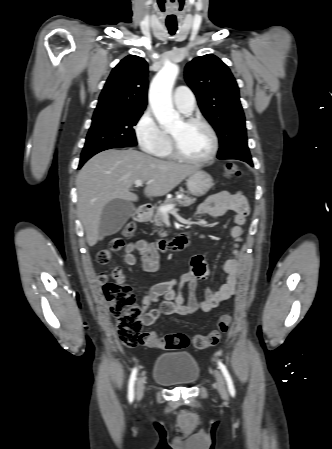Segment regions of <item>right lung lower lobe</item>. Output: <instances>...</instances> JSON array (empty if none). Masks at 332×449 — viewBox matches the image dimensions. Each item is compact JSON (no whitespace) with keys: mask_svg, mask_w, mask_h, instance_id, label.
Here are the masks:
<instances>
[{"mask_svg":"<svg viewBox=\"0 0 332 449\" xmlns=\"http://www.w3.org/2000/svg\"><path fill=\"white\" fill-rule=\"evenodd\" d=\"M107 149H111V148H105L102 150H99L97 152L91 153V154H87V155H83L81 156V160H80V164H79V168H81V166L89 159L91 158L93 155L97 154L98 152H101L103 150H107Z\"/></svg>","mask_w":332,"mask_h":449,"instance_id":"obj_1","label":"right lung lower lobe"}]
</instances>
